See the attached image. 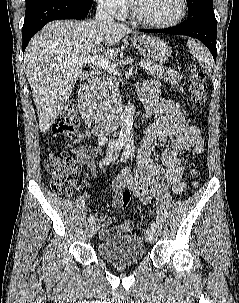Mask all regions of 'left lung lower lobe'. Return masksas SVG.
<instances>
[{"label":"left lung lower lobe","mask_w":239,"mask_h":303,"mask_svg":"<svg viewBox=\"0 0 239 303\" xmlns=\"http://www.w3.org/2000/svg\"><path fill=\"white\" fill-rule=\"evenodd\" d=\"M216 30L217 23L214 11L200 12L188 18L178 26L166 29L145 30L148 33H170L177 35H186L200 40L210 50L213 58L216 60Z\"/></svg>","instance_id":"0a47b994"}]
</instances>
